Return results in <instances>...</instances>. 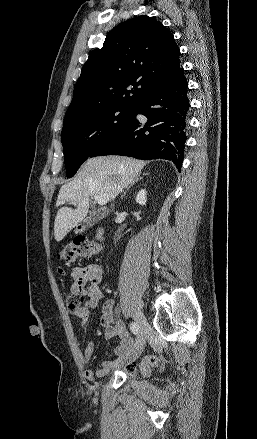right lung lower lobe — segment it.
<instances>
[{
    "mask_svg": "<svg viewBox=\"0 0 257 439\" xmlns=\"http://www.w3.org/2000/svg\"><path fill=\"white\" fill-rule=\"evenodd\" d=\"M188 83L182 68L152 89L139 103L133 118L123 128L99 144L89 157L122 155L137 159H167L178 171L186 142ZM137 114L147 122L136 119Z\"/></svg>",
    "mask_w": 257,
    "mask_h": 439,
    "instance_id": "98d812e1",
    "label": "right lung lower lobe"
}]
</instances>
